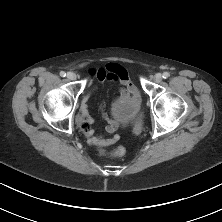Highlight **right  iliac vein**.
<instances>
[{"instance_id": "1", "label": "right iliac vein", "mask_w": 222, "mask_h": 222, "mask_svg": "<svg viewBox=\"0 0 222 222\" xmlns=\"http://www.w3.org/2000/svg\"><path fill=\"white\" fill-rule=\"evenodd\" d=\"M67 78H68L69 80H75V79L77 78V76H76V74L73 73V72H68V73H67Z\"/></svg>"}]
</instances>
